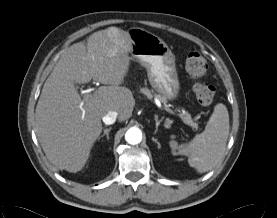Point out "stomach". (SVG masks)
Returning a JSON list of instances; mask_svg holds the SVG:
<instances>
[{
    "label": "stomach",
    "instance_id": "stomach-1",
    "mask_svg": "<svg viewBox=\"0 0 277 218\" xmlns=\"http://www.w3.org/2000/svg\"><path fill=\"white\" fill-rule=\"evenodd\" d=\"M131 55L147 70L152 88L164 100L173 101L180 93L175 58L167 44L157 35L138 27L129 30Z\"/></svg>",
    "mask_w": 277,
    "mask_h": 218
}]
</instances>
